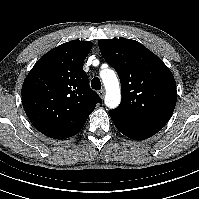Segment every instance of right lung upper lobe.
<instances>
[{"label":"right lung upper lobe","mask_w":199,"mask_h":199,"mask_svg":"<svg viewBox=\"0 0 199 199\" xmlns=\"http://www.w3.org/2000/svg\"><path fill=\"white\" fill-rule=\"evenodd\" d=\"M89 41L66 42L42 56L22 86V104L33 126L54 139L76 135L101 98L91 90L83 62Z\"/></svg>","instance_id":"obj_1"}]
</instances>
